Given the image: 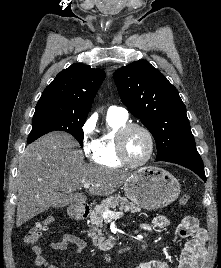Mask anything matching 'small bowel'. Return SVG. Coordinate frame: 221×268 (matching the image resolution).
Masks as SVG:
<instances>
[{
	"instance_id": "obj_1",
	"label": "small bowel",
	"mask_w": 221,
	"mask_h": 268,
	"mask_svg": "<svg viewBox=\"0 0 221 268\" xmlns=\"http://www.w3.org/2000/svg\"><path fill=\"white\" fill-rule=\"evenodd\" d=\"M171 221L167 216L160 215L155 217L151 223H145L140 226L145 231H155L165 229ZM181 237L186 238L187 242L182 250L178 268H202L206 257L207 232L199 226L197 218L193 216L183 217L177 226ZM70 245L74 246L78 253L82 252L86 243L83 239L72 234H66L61 239L49 243L52 250L64 251ZM35 255L34 264L36 268H60L57 265L50 264L44 257V248L41 245H35L32 248ZM136 268H171L165 261L153 260L139 264Z\"/></svg>"
}]
</instances>
